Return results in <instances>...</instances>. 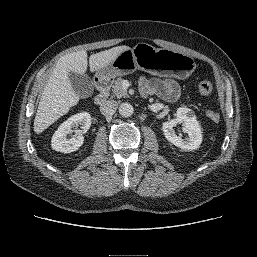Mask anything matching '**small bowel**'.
<instances>
[{
	"instance_id": "1",
	"label": "small bowel",
	"mask_w": 257,
	"mask_h": 257,
	"mask_svg": "<svg viewBox=\"0 0 257 257\" xmlns=\"http://www.w3.org/2000/svg\"><path fill=\"white\" fill-rule=\"evenodd\" d=\"M140 87L144 95H157L170 102L177 100L181 95L178 83L172 79L142 77Z\"/></svg>"
}]
</instances>
